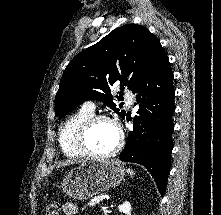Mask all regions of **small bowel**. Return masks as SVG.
Here are the masks:
<instances>
[{
    "label": "small bowel",
    "mask_w": 221,
    "mask_h": 215,
    "mask_svg": "<svg viewBox=\"0 0 221 215\" xmlns=\"http://www.w3.org/2000/svg\"><path fill=\"white\" fill-rule=\"evenodd\" d=\"M63 212L65 215H76L78 213V208L73 203H65L63 205Z\"/></svg>",
    "instance_id": "1"
}]
</instances>
